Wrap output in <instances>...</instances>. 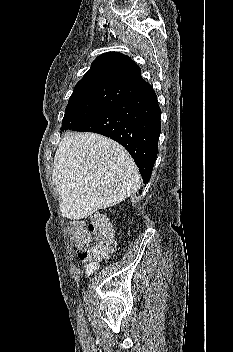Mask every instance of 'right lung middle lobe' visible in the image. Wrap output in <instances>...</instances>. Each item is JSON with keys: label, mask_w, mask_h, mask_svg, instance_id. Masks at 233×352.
I'll list each match as a JSON object with an SVG mask.
<instances>
[{"label": "right lung middle lobe", "mask_w": 233, "mask_h": 352, "mask_svg": "<svg viewBox=\"0 0 233 352\" xmlns=\"http://www.w3.org/2000/svg\"><path fill=\"white\" fill-rule=\"evenodd\" d=\"M133 88L99 85L74 89L65 110L61 130L74 129L103 110L136 94Z\"/></svg>", "instance_id": "dd1d6c3e"}]
</instances>
